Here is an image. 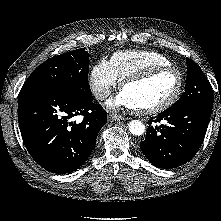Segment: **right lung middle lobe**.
<instances>
[{"mask_svg":"<svg viewBox=\"0 0 221 221\" xmlns=\"http://www.w3.org/2000/svg\"><path fill=\"white\" fill-rule=\"evenodd\" d=\"M89 55L78 49L52 57L38 66L21 90L48 87L71 91L82 98H92L88 83Z\"/></svg>","mask_w":221,"mask_h":221,"instance_id":"obj_1","label":"right lung middle lobe"}]
</instances>
